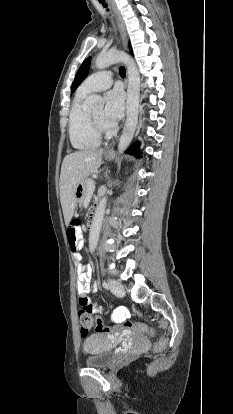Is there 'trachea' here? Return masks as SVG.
I'll use <instances>...</instances> for the list:
<instances>
[{"label":"trachea","mask_w":233,"mask_h":414,"mask_svg":"<svg viewBox=\"0 0 233 414\" xmlns=\"http://www.w3.org/2000/svg\"><path fill=\"white\" fill-rule=\"evenodd\" d=\"M100 1V3L104 6V7H107V4L106 3H104V0H99ZM119 74H120V76L122 77V78H124L125 76H126V69L123 67V66H121L120 68H119Z\"/></svg>","instance_id":"obj_1"}]
</instances>
